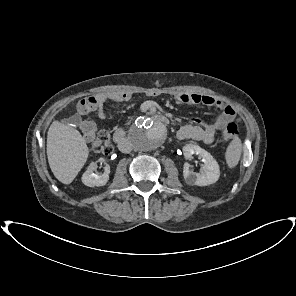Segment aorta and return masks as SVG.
I'll return each mask as SVG.
<instances>
[{
    "label": "aorta",
    "mask_w": 296,
    "mask_h": 296,
    "mask_svg": "<svg viewBox=\"0 0 296 296\" xmlns=\"http://www.w3.org/2000/svg\"><path fill=\"white\" fill-rule=\"evenodd\" d=\"M166 126L150 117H139L129 131L135 149L151 151L161 146L167 138Z\"/></svg>",
    "instance_id": "aorta-1"
}]
</instances>
